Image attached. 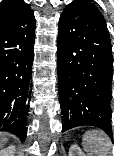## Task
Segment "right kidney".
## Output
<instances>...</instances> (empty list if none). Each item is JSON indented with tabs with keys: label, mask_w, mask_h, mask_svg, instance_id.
Here are the masks:
<instances>
[{
	"label": "right kidney",
	"mask_w": 114,
	"mask_h": 156,
	"mask_svg": "<svg viewBox=\"0 0 114 156\" xmlns=\"http://www.w3.org/2000/svg\"><path fill=\"white\" fill-rule=\"evenodd\" d=\"M15 150V146L10 145L7 148L0 150V156H14Z\"/></svg>",
	"instance_id": "1"
}]
</instances>
